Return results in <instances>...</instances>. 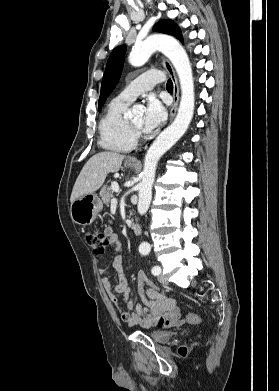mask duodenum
Segmentation results:
<instances>
[{
	"label": "duodenum",
	"instance_id": "obj_1",
	"mask_svg": "<svg viewBox=\"0 0 279 391\" xmlns=\"http://www.w3.org/2000/svg\"><path fill=\"white\" fill-rule=\"evenodd\" d=\"M132 234L139 236L141 234V226L138 223H134L132 226Z\"/></svg>",
	"mask_w": 279,
	"mask_h": 391
}]
</instances>
